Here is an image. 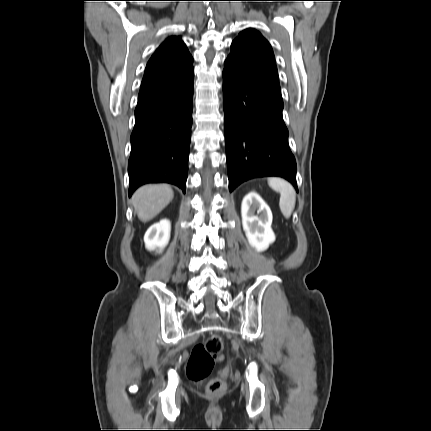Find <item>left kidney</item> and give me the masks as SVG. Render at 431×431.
Masks as SVG:
<instances>
[{"instance_id": "left-kidney-1", "label": "left kidney", "mask_w": 431, "mask_h": 431, "mask_svg": "<svg viewBox=\"0 0 431 431\" xmlns=\"http://www.w3.org/2000/svg\"><path fill=\"white\" fill-rule=\"evenodd\" d=\"M241 216L243 229L250 245L257 251L266 250L269 244L275 241V235L271 229L272 212L269 206L256 192H250L243 198Z\"/></svg>"}]
</instances>
